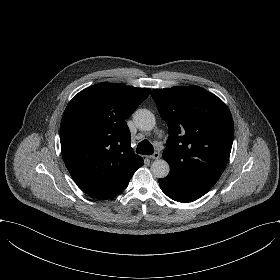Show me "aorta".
<instances>
[{
	"label": "aorta",
	"mask_w": 280,
	"mask_h": 280,
	"mask_svg": "<svg viewBox=\"0 0 280 280\" xmlns=\"http://www.w3.org/2000/svg\"><path fill=\"white\" fill-rule=\"evenodd\" d=\"M134 122L143 131H150L155 126V116L148 109H138L133 114ZM170 171L169 164L163 159L155 160L151 165V172L157 178H165Z\"/></svg>",
	"instance_id": "762f6f07"
}]
</instances>
